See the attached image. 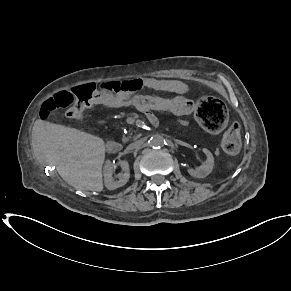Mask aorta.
I'll use <instances>...</instances> for the list:
<instances>
[{
  "mask_svg": "<svg viewBox=\"0 0 291 291\" xmlns=\"http://www.w3.org/2000/svg\"><path fill=\"white\" fill-rule=\"evenodd\" d=\"M164 143V137L159 134H155L149 139V145L153 148H160L164 145Z\"/></svg>",
  "mask_w": 291,
  "mask_h": 291,
  "instance_id": "1",
  "label": "aorta"
}]
</instances>
